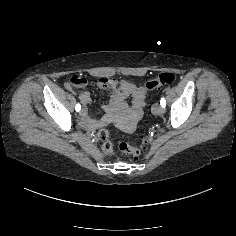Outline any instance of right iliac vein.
<instances>
[{"label": "right iliac vein", "instance_id": "right-iliac-vein-1", "mask_svg": "<svg viewBox=\"0 0 236 236\" xmlns=\"http://www.w3.org/2000/svg\"><path fill=\"white\" fill-rule=\"evenodd\" d=\"M87 111L85 108H82L81 111H80V115L84 116L86 115Z\"/></svg>", "mask_w": 236, "mask_h": 236}]
</instances>
